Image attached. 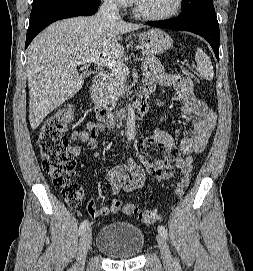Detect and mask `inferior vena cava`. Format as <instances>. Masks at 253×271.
I'll use <instances>...</instances> for the list:
<instances>
[{"instance_id":"obj_1","label":"inferior vena cava","mask_w":253,"mask_h":271,"mask_svg":"<svg viewBox=\"0 0 253 271\" xmlns=\"http://www.w3.org/2000/svg\"><path fill=\"white\" fill-rule=\"evenodd\" d=\"M97 17L105 22L120 20L119 9L114 0H105L97 13Z\"/></svg>"}]
</instances>
